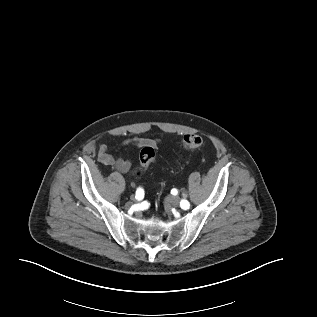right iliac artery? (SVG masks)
I'll use <instances>...</instances> for the list:
<instances>
[{"label":"right iliac artery","mask_w":317,"mask_h":317,"mask_svg":"<svg viewBox=\"0 0 317 317\" xmlns=\"http://www.w3.org/2000/svg\"><path fill=\"white\" fill-rule=\"evenodd\" d=\"M143 197H144V190L142 188H138L137 191H136L135 198L137 200H142Z\"/></svg>","instance_id":"1"}]
</instances>
